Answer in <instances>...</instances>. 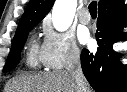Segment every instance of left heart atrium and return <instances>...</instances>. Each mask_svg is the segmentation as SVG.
Instances as JSON below:
<instances>
[{"label":"left heart atrium","instance_id":"obj_1","mask_svg":"<svg viewBox=\"0 0 127 92\" xmlns=\"http://www.w3.org/2000/svg\"><path fill=\"white\" fill-rule=\"evenodd\" d=\"M80 40L83 42V43H87L89 42V34L86 32V31H82L80 33Z\"/></svg>","mask_w":127,"mask_h":92}]
</instances>
